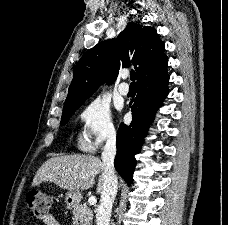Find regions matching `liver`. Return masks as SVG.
<instances>
[{
	"label": "liver",
	"mask_w": 228,
	"mask_h": 225,
	"mask_svg": "<svg viewBox=\"0 0 228 225\" xmlns=\"http://www.w3.org/2000/svg\"><path fill=\"white\" fill-rule=\"evenodd\" d=\"M97 193L102 191L103 163L97 157L90 155H65L52 157L38 169L32 183L37 187L40 183H55L60 189L67 191H84L91 189L96 175H100ZM84 177V179H83Z\"/></svg>",
	"instance_id": "6515ba94"
}]
</instances>
